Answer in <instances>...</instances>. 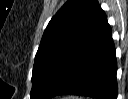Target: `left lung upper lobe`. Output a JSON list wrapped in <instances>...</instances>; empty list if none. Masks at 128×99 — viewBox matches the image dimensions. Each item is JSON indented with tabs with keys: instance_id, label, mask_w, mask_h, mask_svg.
Masks as SVG:
<instances>
[{
	"instance_id": "5c2ea615",
	"label": "left lung upper lobe",
	"mask_w": 128,
	"mask_h": 99,
	"mask_svg": "<svg viewBox=\"0 0 128 99\" xmlns=\"http://www.w3.org/2000/svg\"><path fill=\"white\" fill-rule=\"evenodd\" d=\"M97 0H68L47 25L32 73L31 99H44L59 68L104 18Z\"/></svg>"
}]
</instances>
